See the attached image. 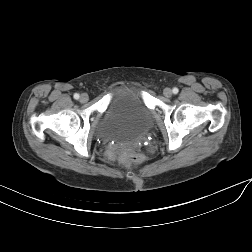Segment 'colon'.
Returning <instances> with one entry per match:
<instances>
[{"mask_svg":"<svg viewBox=\"0 0 252 252\" xmlns=\"http://www.w3.org/2000/svg\"><path fill=\"white\" fill-rule=\"evenodd\" d=\"M120 159L128 164H137L143 160L142 155L139 152L130 148H126L121 152Z\"/></svg>","mask_w":252,"mask_h":252,"instance_id":"obj_1","label":"colon"}]
</instances>
